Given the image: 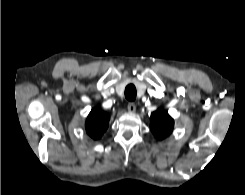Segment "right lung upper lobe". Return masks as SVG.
<instances>
[{"instance_id": "cb5924a9", "label": "right lung upper lobe", "mask_w": 245, "mask_h": 195, "mask_svg": "<svg viewBox=\"0 0 245 195\" xmlns=\"http://www.w3.org/2000/svg\"><path fill=\"white\" fill-rule=\"evenodd\" d=\"M109 119V114L101 111L100 108L92 109L85 124L88 135L93 139L101 137L108 127Z\"/></svg>"}]
</instances>
